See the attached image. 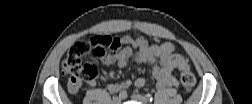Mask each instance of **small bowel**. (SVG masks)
Returning <instances> with one entry per match:
<instances>
[{
  "label": "small bowel",
  "instance_id": "small-bowel-1",
  "mask_svg": "<svg viewBox=\"0 0 252 104\" xmlns=\"http://www.w3.org/2000/svg\"><path fill=\"white\" fill-rule=\"evenodd\" d=\"M124 47L118 49L113 55L103 59L105 65H117L119 68L127 66L129 58L132 55L134 47L137 52L135 61L139 64L149 65L154 78L157 81V86L160 88L174 87L178 85L177 75L175 70H185L189 68L188 62L178 53L175 52V47L171 42L164 41L160 44H150L144 38L133 40L125 37L122 40ZM145 78H137L134 81L136 88H142L146 85ZM130 80H125L119 83H109L107 90L110 93H119L125 91L131 86ZM86 85L94 87L96 85L95 77L88 80Z\"/></svg>",
  "mask_w": 252,
  "mask_h": 104
}]
</instances>
